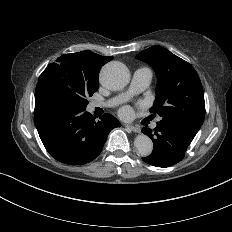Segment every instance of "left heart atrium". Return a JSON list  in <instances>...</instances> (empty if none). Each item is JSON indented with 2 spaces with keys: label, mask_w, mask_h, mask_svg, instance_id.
<instances>
[{
  "label": "left heart atrium",
  "mask_w": 232,
  "mask_h": 232,
  "mask_svg": "<svg viewBox=\"0 0 232 232\" xmlns=\"http://www.w3.org/2000/svg\"><path fill=\"white\" fill-rule=\"evenodd\" d=\"M126 112H128V109H123L122 110V113H126Z\"/></svg>",
  "instance_id": "39dd6f15"
}]
</instances>
